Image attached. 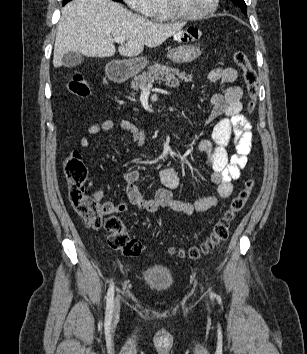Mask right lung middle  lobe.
<instances>
[{
  "label": "right lung middle lobe",
  "instance_id": "dd1d6c3e",
  "mask_svg": "<svg viewBox=\"0 0 307 354\" xmlns=\"http://www.w3.org/2000/svg\"><path fill=\"white\" fill-rule=\"evenodd\" d=\"M64 2H69L70 0H63ZM113 1H117V2H121L122 0H113Z\"/></svg>",
  "mask_w": 307,
  "mask_h": 354
}]
</instances>
